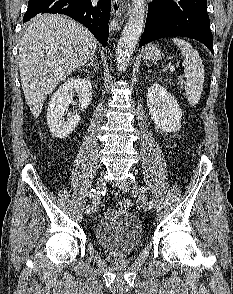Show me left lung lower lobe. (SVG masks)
<instances>
[{
    "label": "left lung lower lobe",
    "instance_id": "obj_1",
    "mask_svg": "<svg viewBox=\"0 0 233 294\" xmlns=\"http://www.w3.org/2000/svg\"><path fill=\"white\" fill-rule=\"evenodd\" d=\"M168 36L196 39L214 54L207 0H153L139 46Z\"/></svg>",
    "mask_w": 233,
    "mask_h": 294
}]
</instances>
